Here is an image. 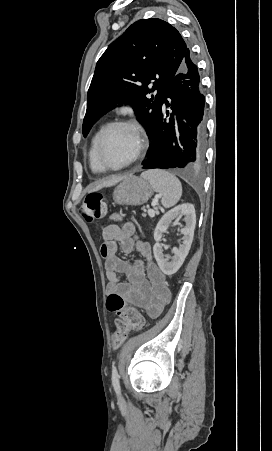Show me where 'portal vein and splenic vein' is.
<instances>
[{"instance_id": "1", "label": "portal vein and splenic vein", "mask_w": 272, "mask_h": 451, "mask_svg": "<svg viewBox=\"0 0 272 451\" xmlns=\"http://www.w3.org/2000/svg\"><path fill=\"white\" fill-rule=\"evenodd\" d=\"M156 198H161V194H159V196H156ZM148 214H149L150 218H154V216H155L154 210H148Z\"/></svg>"}]
</instances>
